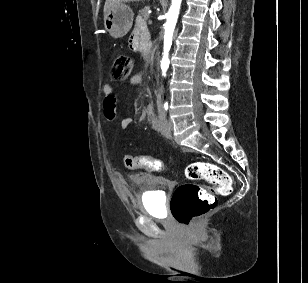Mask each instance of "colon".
I'll return each mask as SVG.
<instances>
[{
  "instance_id": "colon-1",
  "label": "colon",
  "mask_w": 308,
  "mask_h": 283,
  "mask_svg": "<svg viewBox=\"0 0 308 283\" xmlns=\"http://www.w3.org/2000/svg\"><path fill=\"white\" fill-rule=\"evenodd\" d=\"M132 71L129 56H118L112 66V79L124 80ZM124 164L128 169L143 168L154 171L164 169V164L147 155H126ZM191 180H204L209 186L186 183L179 186L171 198V211L174 219L183 226H190L201 220L216 206V194L227 195L232 189L229 174L220 166L207 162H193L186 169Z\"/></svg>"
}]
</instances>
